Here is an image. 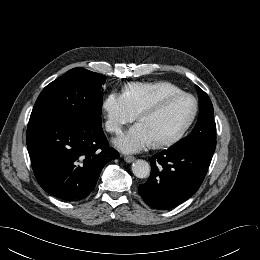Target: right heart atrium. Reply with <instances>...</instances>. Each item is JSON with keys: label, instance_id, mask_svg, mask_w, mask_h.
Here are the masks:
<instances>
[{"label": "right heart atrium", "instance_id": "d8ad5b80", "mask_svg": "<svg viewBox=\"0 0 260 260\" xmlns=\"http://www.w3.org/2000/svg\"><path fill=\"white\" fill-rule=\"evenodd\" d=\"M105 125L109 132L119 134L124 126L132 122L136 115L129 107L123 94L111 92L103 101Z\"/></svg>", "mask_w": 260, "mask_h": 260}]
</instances>
